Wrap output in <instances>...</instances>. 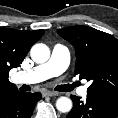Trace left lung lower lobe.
Instances as JSON below:
<instances>
[{
	"label": "left lung lower lobe",
	"mask_w": 118,
	"mask_h": 118,
	"mask_svg": "<svg viewBox=\"0 0 118 118\" xmlns=\"http://www.w3.org/2000/svg\"><path fill=\"white\" fill-rule=\"evenodd\" d=\"M73 108L66 118H116L118 116V100L109 97L87 94L85 101L71 95Z\"/></svg>",
	"instance_id": "0a47b994"
}]
</instances>
